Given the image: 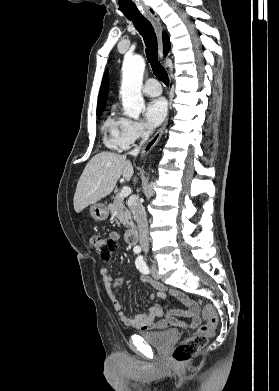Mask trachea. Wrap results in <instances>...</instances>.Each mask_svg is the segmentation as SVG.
<instances>
[{
    "label": "trachea",
    "instance_id": "3493384b",
    "mask_svg": "<svg viewBox=\"0 0 279 391\" xmlns=\"http://www.w3.org/2000/svg\"><path fill=\"white\" fill-rule=\"evenodd\" d=\"M134 24V27L143 37L146 46V55L150 63L153 73L165 85H169V78L165 68L158 60V44L154 28L146 18H129Z\"/></svg>",
    "mask_w": 279,
    "mask_h": 391
}]
</instances>
